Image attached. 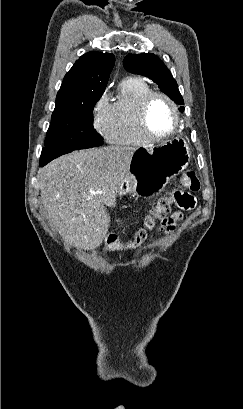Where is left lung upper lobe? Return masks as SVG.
Listing matches in <instances>:
<instances>
[{
  "label": "left lung upper lobe",
  "instance_id": "left-lung-upper-lobe-1",
  "mask_svg": "<svg viewBox=\"0 0 243 409\" xmlns=\"http://www.w3.org/2000/svg\"><path fill=\"white\" fill-rule=\"evenodd\" d=\"M124 68L135 74H140L153 80L177 104L183 105V98L178 90L177 83L164 63L152 53L129 54L123 60ZM180 110L183 112L184 107Z\"/></svg>",
  "mask_w": 243,
  "mask_h": 409
}]
</instances>
